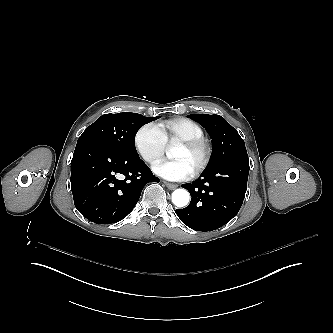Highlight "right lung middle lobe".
Returning <instances> with one entry per match:
<instances>
[{
  "label": "right lung middle lobe",
  "instance_id": "right-lung-middle-lobe-1",
  "mask_svg": "<svg viewBox=\"0 0 333 333\" xmlns=\"http://www.w3.org/2000/svg\"><path fill=\"white\" fill-rule=\"evenodd\" d=\"M158 118L160 116L151 118L129 112L105 114L82 133L77 143L97 141L121 155L138 157L134 144L137 131Z\"/></svg>",
  "mask_w": 333,
  "mask_h": 333
}]
</instances>
